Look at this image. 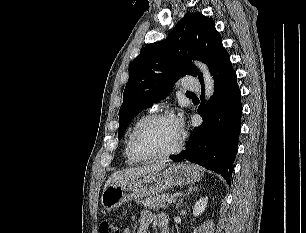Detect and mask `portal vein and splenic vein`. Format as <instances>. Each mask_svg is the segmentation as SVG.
<instances>
[{
    "label": "portal vein and splenic vein",
    "instance_id": "18ae733b",
    "mask_svg": "<svg viewBox=\"0 0 306 233\" xmlns=\"http://www.w3.org/2000/svg\"><path fill=\"white\" fill-rule=\"evenodd\" d=\"M174 202H176V198H175V197H173V198L167 200V203H168V204H171V203H174Z\"/></svg>",
    "mask_w": 306,
    "mask_h": 233
}]
</instances>
